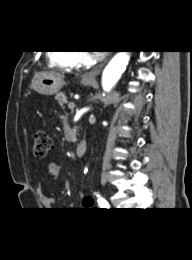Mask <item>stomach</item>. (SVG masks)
Returning <instances> with one entry per match:
<instances>
[{
  "instance_id": "1",
  "label": "stomach",
  "mask_w": 192,
  "mask_h": 260,
  "mask_svg": "<svg viewBox=\"0 0 192 260\" xmlns=\"http://www.w3.org/2000/svg\"><path fill=\"white\" fill-rule=\"evenodd\" d=\"M83 85L90 86L93 81H82ZM63 77L56 73H38L32 80V88L42 95L57 94L64 86Z\"/></svg>"
}]
</instances>
